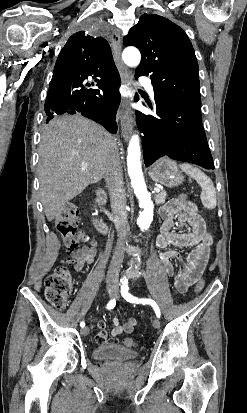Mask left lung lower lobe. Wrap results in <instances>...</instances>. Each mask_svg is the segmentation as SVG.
<instances>
[{
    "label": "left lung lower lobe",
    "mask_w": 247,
    "mask_h": 413,
    "mask_svg": "<svg viewBox=\"0 0 247 413\" xmlns=\"http://www.w3.org/2000/svg\"><path fill=\"white\" fill-rule=\"evenodd\" d=\"M138 76L136 74V78ZM155 100L159 118L136 112L138 127L144 135L142 147L145 165L148 167L160 157H169L214 169L202 125L201 108L173 98ZM148 105L151 107V103Z\"/></svg>",
    "instance_id": "1"
}]
</instances>
